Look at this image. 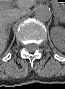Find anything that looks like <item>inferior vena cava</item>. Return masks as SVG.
Instances as JSON below:
<instances>
[{"instance_id":"obj_1","label":"inferior vena cava","mask_w":65,"mask_h":89,"mask_svg":"<svg viewBox=\"0 0 65 89\" xmlns=\"http://www.w3.org/2000/svg\"><path fill=\"white\" fill-rule=\"evenodd\" d=\"M22 15H23L22 13L17 14V15H14V16L8 21V23L11 24V23L17 21L20 17H22ZM1 22H2V20H1ZM3 22H4V21H3Z\"/></svg>"}]
</instances>
